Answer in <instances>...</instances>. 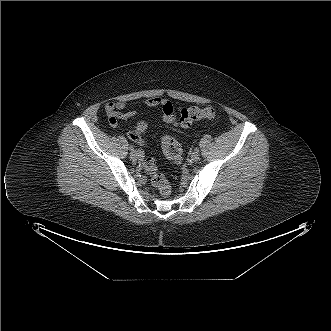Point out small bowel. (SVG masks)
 <instances>
[{
    "mask_svg": "<svg viewBox=\"0 0 331 331\" xmlns=\"http://www.w3.org/2000/svg\"><path fill=\"white\" fill-rule=\"evenodd\" d=\"M144 104L148 107H160L163 113V122L175 127H185L180 122L181 108L161 97H152L146 99ZM105 113L108 117V121L112 127H116L119 120H127L136 114V109H126V104L123 101L108 102L104 106ZM128 137L138 144L143 145L145 143L141 134L135 130L130 131Z\"/></svg>",
    "mask_w": 331,
    "mask_h": 331,
    "instance_id": "c3829d8e",
    "label": "small bowel"
}]
</instances>
